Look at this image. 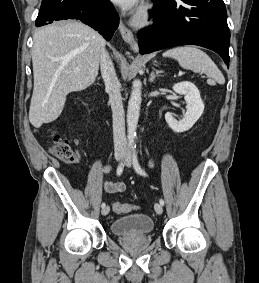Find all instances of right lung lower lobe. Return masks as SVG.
Listing matches in <instances>:
<instances>
[{
	"instance_id": "obj_1",
	"label": "right lung lower lobe",
	"mask_w": 259,
	"mask_h": 283,
	"mask_svg": "<svg viewBox=\"0 0 259 283\" xmlns=\"http://www.w3.org/2000/svg\"><path fill=\"white\" fill-rule=\"evenodd\" d=\"M61 19H79L107 41L119 25V16L109 0H42L36 26Z\"/></svg>"
}]
</instances>
